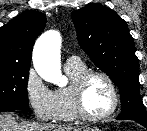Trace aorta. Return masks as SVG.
<instances>
[{
    "label": "aorta",
    "instance_id": "762f6f07",
    "mask_svg": "<svg viewBox=\"0 0 147 131\" xmlns=\"http://www.w3.org/2000/svg\"><path fill=\"white\" fill-rule=\"evenodd\" d=\"M61 38L58 32L48 31L35 43L33 65L36 72L45 81L63 87L67 78L62 75L60 63Z\"/></svg>",
    "mask_w": 147,
    "mask_h": 131
}]
</instances>
